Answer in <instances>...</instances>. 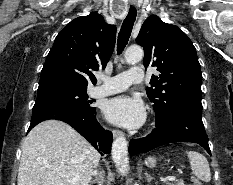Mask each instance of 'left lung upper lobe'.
<instances>
[{"instance_id": "1", "label": "left lung upper lobe", "mask_w": 233, "mask_h": 185, "mask_svg": "<svg viewBox=\"0 0 233 185\" xmlns=\"http://www.w3.org/2000/svg\"><path fill=\"white\" fill-rule=\"evenodd\" d=\"M136 42L144 48L145 68L157 67L146 92L156 115L165 122L186 100L202 97L201 67L196 49L177 26L151 15L143 23Z\"/></svg>"}]
</instances>
